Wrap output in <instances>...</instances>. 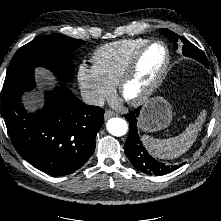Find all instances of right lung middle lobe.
Returning a JSON list of instances; mask_svg holds the SVG:
<instances>
[{
	"label": "right lung middle lobe",
	"instance_id": "1",
	"mask_svg": "<svg viewBox=\"0 0 221 221\" xmlns=\"http://www.w3.org/2000/svg\"><path fill=\"white\" fill-rule=\"evenodd\" d=\"M84 43L62 34H50L32 40L13 56L6 73L2 92L35 87L34 70L37 67L53 69L54 74L67 81L72 79L73 65L65 60Z\"/></svg>",
	"mask_w": 221,
	"mask_h": 221
}]
</instances>
